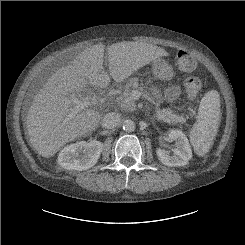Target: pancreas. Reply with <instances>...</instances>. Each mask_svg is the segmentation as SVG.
<instances>
[{"label": "pancreas", "instance_id": "cf45deb5", "mask_svg": "<svg viewBox=\"0 0 245 245\" xmlns=\"http://www.w3.org/2000/svg\"><path fill=\"white\" fill-rule=\"evenodd\" d=\"M139 79L138 78H131L128 83L126 84V87L123 91V93L119 97V101L122 104V107L126 111H133L135 109V103L134 101H129L127 103H124V100L130 97L132 91L134 90H143L142 85H139ZM162 102V100H158L155 103V116L158 120L166 122V123H185L186 118L184 115H178L170 108H159V104Z\"/></svg>", "mask_w": 245, "mask_h": 245}]
</instances>
